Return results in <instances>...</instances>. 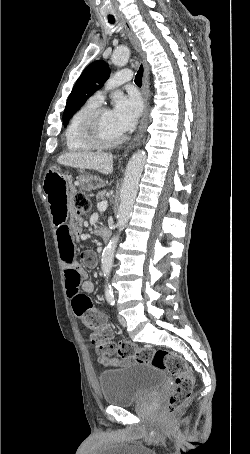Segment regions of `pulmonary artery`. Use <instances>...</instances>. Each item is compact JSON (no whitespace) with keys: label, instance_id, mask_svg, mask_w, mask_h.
<instances>
[{"label":"pulmonary artery","instance_id":"e3ab8cb5","mask_svg":"<svg viewBox=\"0 0 250 454\" xmlns=\"http://www.w3.org/2000/svg\"><path fill=\"white\" fill-rule=\"evenodd\" d=\"M132 79V73L130 70H120L115 73L107 82L104 90L97 91L92 95L90 100L93 102L100 104L104 98V93L107 90L115 88L121 84L128 83Z\"/></svg>","mask_w":250,"mask_h":454}]
</instances>
